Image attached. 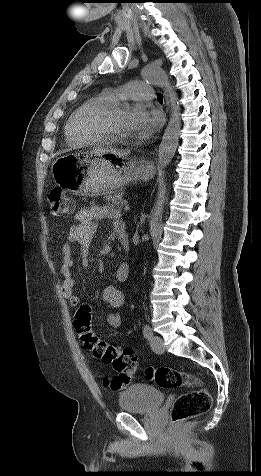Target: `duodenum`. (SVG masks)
Listing matches in <instances>:
<instances>
[{"label":"duodenum","mask_w":261,"mask_h":476,"mask_svg":"<svg viewBox=\"0 0 261 476\" xmlns=\"http://www.w3.org/2000/svg\"><path fill=\"white\" fill-rule=\"evenodd\" d=\"M116 232H117V238H118L121 246L123 247V249L128 250L129 249V238H128L127 232L125 231L124 228H120Z\"/></svg>","instance_id":"1"}]
</instances>
